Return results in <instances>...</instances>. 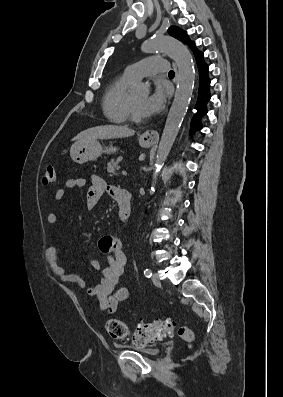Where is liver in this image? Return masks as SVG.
I'll return each instance as SVG.
<instances>
[{
  "label": "liver",
  "mask_w": 283,
  "mask_h": 397,
  "mask_svg": "<svg viewBox=\"0 0 283 397\" xmlns=\"http://www.w3.org/2000/svg\"><path fill=\"white\" fill-rule=\"evenodd\" d=\"M135 134V131L120 125H102L80 132L73 140L84 142L92 139L125 138Z\"/></svg>",
  "instance_id": "obj_1"
}]
</instances>
